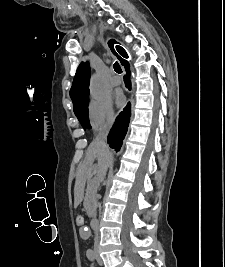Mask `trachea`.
<instances>
[{
  "instance_id": "1",
  "label": "trachea",
  "mask_w": 225,
  "mask_h": 267,
  "mask_svg": "<svg viewBox=\"0 0 225 267\" xmlns=\"http://www.w3.org/2000/svg\"><path fill=\"white\" fill-rule=\"evenodd\" d=\"M113 68L117 73H122V69H121V67H120L118 62L114 63Z\"/></svg>"
}]
</instances>
